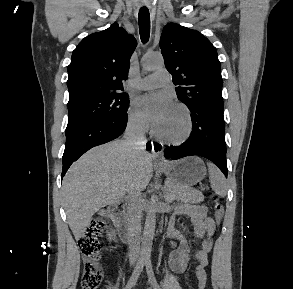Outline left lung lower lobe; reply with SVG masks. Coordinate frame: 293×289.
I'll return each mask as SVG.
<instances>
[{
    "mask_svg": "<svg viewBox=\"0 0 293 289\" xmlns=\"http://www.w3.org/2000/svg\"><path fill=\"white\" fill-rule=\"evenodd\" d=\"M191 111L192 133L180 146H170L165 157L179 159L198 155L211 160L227 177L225 124L223 111L213 107L199 106Z\"/></svg>",
    "mask_w": 293,
    "mask_h": 289,
    "instance_id": "0a47b994",
    "label": "left lung lower lobe"
}]
</instances>
